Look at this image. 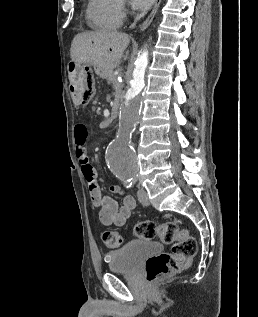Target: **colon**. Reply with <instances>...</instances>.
<instances>
[{
    "label": "colon",
    "instance_id": "obj_1",
    "mask_svg": "<svg viewBox=\"0 0 258 317\" xmlns=\"http://www.w3.org/2000/svg\"><path fill=\"white\" fill-rule=\"evenodd\" d=\"M95 93V79L90 71H84L79 96L83 103L89 102ZM140 239L150 240L158 237L164 244L171 246L170 252H163L150 258L145 265V275L149 283H154L171 273L181 270L197 253V242L176 221L162 223L139 222L134 229ZM104 244L109 248L122 245V235L117 231H106L102 235Z\"/></svg>",
    "mask_w": 258,
    "mask_h": 317
}]
</instances>
